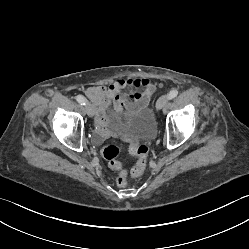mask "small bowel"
I'll return each instance as SVG.
<instances>
[{
    "mask_svg": "<svg viewBox=\"0 0 249 249\" xmlns=\"http://www.w3.org/2000/svg\"><path fill=\"white\" fill-rule=\"evenodd\" d=\"M154 91V84L148 79L120 78L109 85L91 86L86 95L100 111L99 125L102 127L111 109L142 108Z\"/></svg>",
    "mask_w": 249,
    "mask_h": 249,
    "instance_id": "1",
    "label": "small bowel"
}]
</instances>
